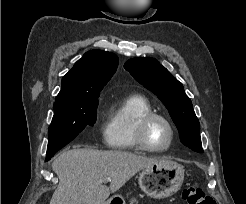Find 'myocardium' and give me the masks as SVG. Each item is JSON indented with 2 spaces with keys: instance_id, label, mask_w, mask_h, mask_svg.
<instances>
[{
  "instance_id": "myocardium-1",
  "label": "myocardium",
  "mask_w": 246,
  "mask_h": 204,
  "mask_svg": "<svg viewBox=\"0 0 246 204\" xmlns=\"http://www.w3.org/2000/svg\"><path fill=\"white\" fill-rule=\"evenodd\" d=\"M160 120L162 121L169 129L170 138L166 146L158 148L150 145L148 141V130L153 121ZM175 139V128L171 121L162 114L156 112H150L143 116L138 123L136 129V141L138 146L148 152H164L167 151L173 144Z\"/></svg>"
}]
</instances>
